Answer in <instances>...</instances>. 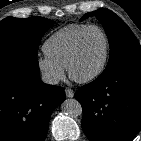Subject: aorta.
I'll return each instance as SVG.
<instances>
[{
	"label": "aorta",
	"mask_w": 141,
	"mask_h": 141,
	"mask_svg": "<svg viewBox=\"0 0 141 141\" xmlns=\"http://www.w3.org/2000/svg\"><path fill=\"white\" fill-rule=\"evenodd\" d=\"M62 111L71 117L82 115V106L76 99H66L61 104Z\"/></svg>",
	"instance_id": "1"
}]
</instances>
